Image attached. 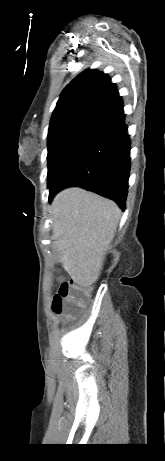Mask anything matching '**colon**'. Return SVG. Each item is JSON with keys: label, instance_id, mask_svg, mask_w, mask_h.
<instances>
[{"label": "colon", "instance_id": "1", "mask_svg": "<svg viewBox=\"0 0 165 461\" xmlns=\"http://www.w3.org/2000/svg\"><path fill=\"white\" fill-rule=\"evenodd\" d=\"M90 294V288L76 284L72 279H62L52 301L55 314L67 319L77 316Z\"/></svg>", "mask_w": 165, "mask_h": 461}]
</instances>
